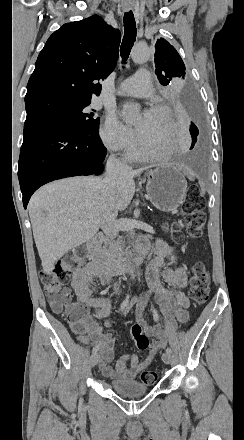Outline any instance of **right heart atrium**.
Returning <instances> with one entry per match:
<instances>
[{
    "label": "right heart atrium",
    "instance_id": "1",
    "mask_svg": "<svg viewBox=\"0 0 244 440\" xmlns=\"http://www.w3.org/2000/svg\"><path fill=\"white\" fill-rule=\"evenodd\" d=\"M100 136L104 145L112 152L131 150L139 138L136 129L119 121L111 111L106 112Z\"/></svg>",
    "mask_w": 244,
    "mask_h": 440
}]
</instances>
